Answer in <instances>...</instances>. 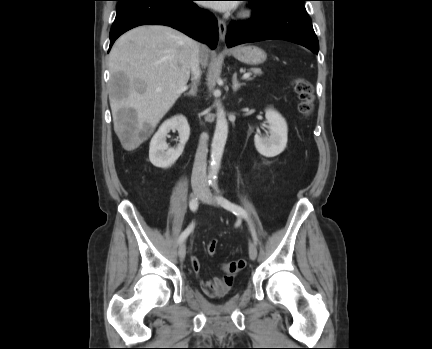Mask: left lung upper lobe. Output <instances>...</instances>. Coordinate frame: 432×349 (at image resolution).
Wrapping results in <instances>:
<instances>
[{"label":"left lung upper lobe","instance_id":"5c2ea615","mask_svg":"<svg viewBox=\"0 0 432 349\" xmlns=\"http://www.w3.org/2000/svg\"><path fill=\"white\" fill-rule=\"evenodd\" d=\"M247 1V0H246ZM249 1V0H248ZM295 1H298V2H301V3H303L304 1H306V0H295Z\"/></svg>","mask_w":432,"mask_h":349}]
</instances>
